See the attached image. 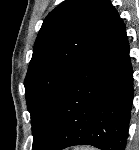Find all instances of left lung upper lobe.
I'll use <instances>...</instances> for the list:
<instances>
[{
  "mask_svg": "<svg viewBox=\"0 0 139 150\" xmlns=\"http://www.w3.org/2000/svg\"><path fill=\"white\" fill-rule=\"evenodd\" d=\"M111 8L110 0H66L45 18L24 81L33 144L48 122L55 98Z\"/></svg>",
  "mask_w": 139,
  "mask_h": 150,
  "instance_id": "left-lung-upper-lobe-1",
  "label": "left lung upper lobe"
}]
</instances>
